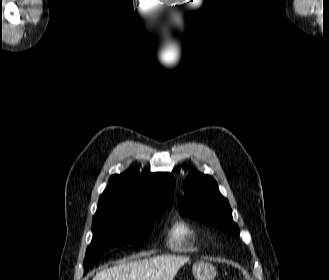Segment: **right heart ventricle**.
I'll use <instances>...</instances> for the list:
<instances>
[{"label": "right heart ventricle", "mask_w": 329, "mask_h": 280, "mask_svg": "<svg viewBox=\"0 0 329 280\" xmlns=\"http://www.w3.org/2000/svg\"><path fill=\"white\" fill-rule=\"evenodd\" d=\"M169 245L174 250H189L196 240L195 230L185 221H176L169 233Z\"/></svg>", "instance_id": "1"}]
</instances>
